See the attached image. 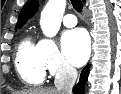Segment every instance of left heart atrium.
I'll use <instances>...</instances> for the list:
<instances>
[{"instance_id": "39dd6f15", "label": "left heart atrium", "mask_w": 121, "mask_h": 94, "mask_svg": "<svg viewBox=\"0 0 121 94\" xmlns=\"http://www.w3.org/2000/svg\"><path fill=\"white\" fill-rule=\"evenodd\" d=\"M61 42L64 56L72 65L79 67L87 61L90 44L88 35L83 29L65 32Z\"/></svg>"}]
</instances>
